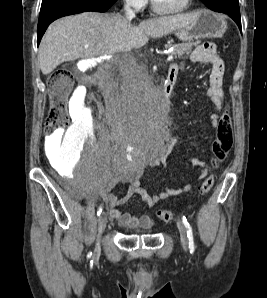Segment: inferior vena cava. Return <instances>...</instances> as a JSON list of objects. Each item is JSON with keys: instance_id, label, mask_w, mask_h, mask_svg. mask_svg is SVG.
Masks as SVG:
<instances>
[{"instance_id": "obj_1", "label": "inferior vena cava", "mask_w": 267, "mask_h": 298, "mask_svg": "<svg viewBox=\"0 0 267 298\" xmlns=\"http://www.w3.org/2000/svg\"><path fill=\"white\" fill-rule=\"evenodd\" d=\"M131 6V0H127L126 4L124 5V13L128 21H131L135 17V13L132 10ZM119 63L121 66V70L125 73H129L135 65V59L132 55L125 53L124 55L119 57Z\"/></svg>"}]
</instances>
